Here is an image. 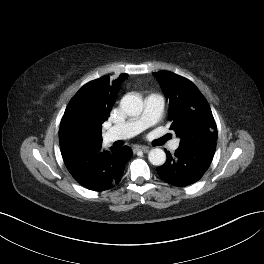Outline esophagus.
Listing matches in <instances>:
<instances>
[{"label": "esophagus", "mask_w": 264, "mask_h": 264, "mask_svg": "<svg viewBox=\"0 0 264 264\" xmlns=\"http://www.w3.org/2000/svg\"><path fill=\"white\" fill-rule=\"evenodd\" d=\"M133 152H137V151H143V152H148L149 150V147L147 146H140V145H135L133 148H132Z\"/></svg>", "instance_id": "34e87169"}]
</instances>
